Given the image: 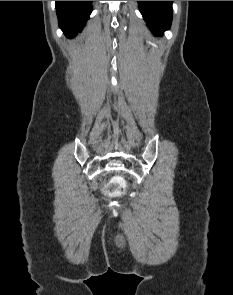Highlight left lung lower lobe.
<instances>
[{
    "instance_id": "left-lung-lower-lobe-1",
    "label": "left lung lower lobe",
    "mask_w": 233,
    "mask_h": 295,
    "mask_svg": "<svg viewBox=\"0 0 233 295\" xmlns=\"http://www.w3.org/2000/svg\"><path fill=\"white\" fill-rule=\"evenodd\" d=\"M173 1H138L140 12L150 30L161 36L170 28Z\"/></svg>"
}]
</instances>
